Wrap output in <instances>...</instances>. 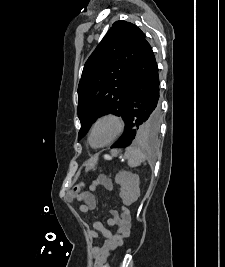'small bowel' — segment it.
<instances>
[{
  "label": "small bowel",
  "mask_w": 225,
  "mask_h": 267,
  "mask_svg": "<svg viewBox=\"0 0 225 267\" xmlns=\"http://www.w3.org/2000/svg\"><path fill=\"white\" fill-rule=\"evenodd\" d=\"M98 187L113 190V183L108 177L99 176L92 182L89 191L84 192L80 196L70 193L67 195V200L70 202L74 200L81 201L83 204L80 206V211L84 214H88L96 207V199L93 192ZM108 224L115 226L117 230L115 232H111L107 230L102 223L92 221V228L88 231L91 239H97L99 237L98 232H100L103 236V244L92 248L94 267H104L108 254L119 247L125 238L129 237L132 227L129 209L126 206H123L121 208V212L111 210Z\"/></svg>",
  "instance_id": "small-bowel-1"
}]
</instances>
